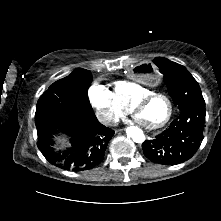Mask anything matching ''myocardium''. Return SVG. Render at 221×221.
<instances>
[{"label": "myocardium", "instance_id": "obj_1", "mask_svg": "<svg viewBox=\"0 0 221 221\" xmlns=\"http://www.w3.org/2000/svg\"><path fill=\"white\" fill-rule=\"evenodd\" d=\"M156 97H161L167 101V103L169 105L168 114L161 122H159L157 124L144 123L139 118V112L141 111V109L144 106L147 105V103L150 100H152L153 98H156ZM131 110H132L133 114L135 115V117L141 122L142 126H144L146 129H149V130H156V129H160V128L164 127L171 120V118L173 117V114H174V103H173L172 99L164 93L151 92V93H148V94L140 97L138 100H136L133 103V105L131 106Z\"/></svg>", "mask_w": 221, "mask_h": 221}]
</instances>
